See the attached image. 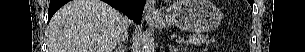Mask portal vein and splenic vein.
Masks as SVG:
<instances>
[{"label": "portal vein and splenic vein", "mask_w": 305, "mask_h": 52, "mask_svg": "<svg viewBox=\"0 0 305 52\" xmlns=\"http://www.w3.org/2000/svg\"><path fill=\"white\" fill-rule=\"evenodd\" d=\"M176 42H177V43L184 42V39H183V38H182V39H177Z\"/></svg>", "instance_id": "obj_1"}]
</instances>
